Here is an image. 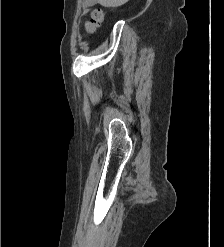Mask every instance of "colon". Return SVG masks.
Returning <instances> with one entry per match:
<instances>
[{
  "label": "colon",
  "instance_id": "5ec220e1",
  "mask_svg": "<svg viewBox=\"0 0 224 247\" xmlns=\"http://www.w3.org/2000/svg\"><path fill=\"white\" fill-rule=\"evenodd\" d=\"M103 21V13L100 10H96L92 13L90 21L87 23V31L93 32L97 29L100 23Z\"/></svg>",
  "mask_w": 224,
  "mask_h": 247
}]
</instances>
